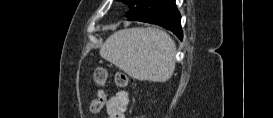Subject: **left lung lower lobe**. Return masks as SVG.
I'll return each mask as SVG.
<instances>
[{
  "label": "left lung lower lobe",
  "mask_w": 273,
  "mask_h": 118,
  "mask_svg": "<svg viewBox=\"0 0 273 118\" xmlns=\"http://www.w3.org/2000/svg\"><path fill=\"white\" fill-rule=\"evenodd\" d=\"M140 21L160 25L172 31L180 40L183 38L181 15L176 8L175 0H168L157 12Z\"/></svg>",
  "instance_id": "0a47b994"
}]
</instances>
